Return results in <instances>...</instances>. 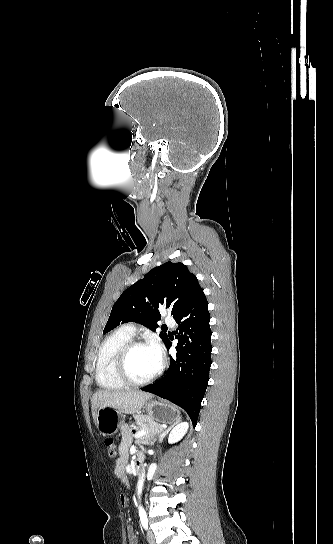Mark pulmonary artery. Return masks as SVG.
Listing matches in <instances>:
<instances>
[{
  "instance_id": "e3ab8cb5",
  "label": "pulmonary artery",
  "mask_w": 333,
  "mask_h": 544,
  "mask_svg": "<svg viewBox=\"0 0 333 544\" xmlns=\"http://www.w3.org/2000/svg\"><path fill=\"white\" fill-rule=\"evenodd\" d=\"M165 321L169 325H173L175 323L174 319L170 315L166 316ZM123 328H125L129 333L133 335L135 334V327L132 324H127L123 326Z\"/></svg>"
}]
</instances>
